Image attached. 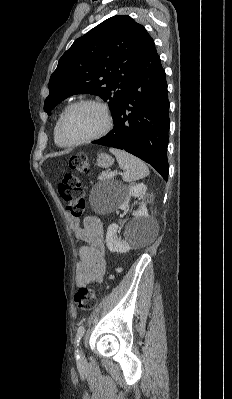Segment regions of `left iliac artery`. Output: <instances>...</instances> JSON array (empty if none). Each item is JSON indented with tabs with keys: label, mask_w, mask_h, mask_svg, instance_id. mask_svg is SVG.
<instances>
[{
	"label": "left iliac artery",
	"mask_w": 232,
	"mask_h": 399,
	"mask_svg": "<svg viewBox=\"0 0 232 399\" xmlns=\"http://www.w3.org/2000/svg\"><path fill=\"white\" fill-rule=\"evenodd\" d=\"M84 332H85L84 326L83 325L79 326V328L77 330V334H76V339H75V347L79 346L80 339L83 336ZM75 357L77 359L80 358V355L77 350H75Z\"/></svg>",
	"instance_id": "44dca946"
}]
</instances>
